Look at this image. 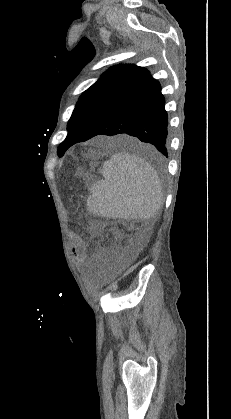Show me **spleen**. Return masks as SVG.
<instances>
[{
    "instance_id": "spleen-1",
    "label": "spleen",
    "mask_w": 231,
    "mask_h": 419,
    "mask_svg": "<svg viewBox=\"0 0 231 419\" xmlns=\"http://www.w3.org/2000/svg\"><path fill=\"white\" fill-rule=\"evenodd\" d=\"M103 180L93 184L88 210L109 218L151 219L163 200L161 181L144 159L115 153L103 165Z\"/></svg>"
}]
</instances>
